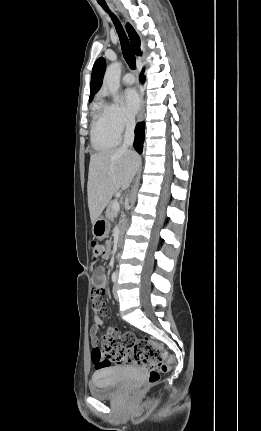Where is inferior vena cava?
Wrapping results in <instances>:
<instances>
[{
    "mask_svg": "<svg viewBox=\"0 0 261 431\" xmlns=\"http://www.w3.org/2000/svg\"><path fill=\"white\" fill-rule=\"evenodd\" d=\"M134 129H135V119L134 117H128L126 120V130L124 134V142L122 149H128L132 147L134 142Z\"/></svg>",
    "mask_w": 261,
    "mask_h": 431,
    "instance_id": "obj_1",
    "label": "inferior vena cava"
}]
</instances>
